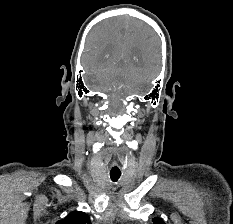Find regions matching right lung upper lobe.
<instances>
[{
    "label": "right lung upper lobe",
    "mask_w": 233,
    "mask_h": 224,
    "mask_svg": "<svg viewBox=\"0 0 233 224\" xmlns=\"http://www.w3.org/2000/svg\"><path fill=\"white\" fill-rule=\"evenodd\" d=\"M56 224H91L89 216L81 211H74L66 218L59 220Z\"/></svg>",
    "instance_id": "right-lung-upper-lobe-1"
}]
</instances>
